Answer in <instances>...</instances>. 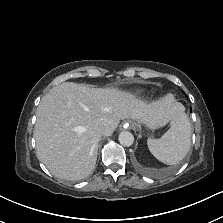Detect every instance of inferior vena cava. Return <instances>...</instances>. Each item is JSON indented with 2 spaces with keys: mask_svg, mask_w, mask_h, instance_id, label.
<instances>
[{
  "mask_svg": "<svg viewBox=\"0 0 223 223\" xmlns=\"http://www.w3.org/2000/svg\"><path fill=\"white\" fill-rule=\"evenodd\" d=\"M94 130L96 131V133L99 135V136H102V135H104V132H105V128H104V126L103 125H96L95 127H94Z\"/></svg>",
  "mask_w": 223,
  "mask_h": 223,
  "instance_id": "inferior-vena-cava-1",
  "label": "inferior vena cava"
}]
</instances>
